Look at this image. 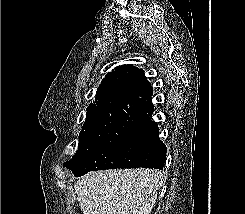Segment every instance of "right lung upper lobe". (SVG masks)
Returning a JSON list of instances; mask_svg holds the SVG:
<instances>
[{"label":"right lung upper lobe","instance_id":"1","mask_svg":"<svg viewBox=\"0 0 245 214\" xmlns=\"http://www.w3.org/2000/svg\"><path fill=\"white\" fill-rule=\"evenodd\" d=\"M152 87L144 72L133 65L117 66L98 87L95 102L87 107L80 135H102L117 128H131L140 119L144 97Z\"/></svg>","mask_w":245,"mask_h":214}]
</instances>
